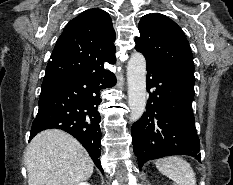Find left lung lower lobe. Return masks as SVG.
Masks as SVG:
<instances>
[{
    "instance_id": "0a47b994",
    "label": "left lung lower lobe",
    "mask_w": 233,
    "mask_h": 185,
    "mask_svg": "<svg viewBox=\"0 0 233 185\" xmlns=\"http://www.w3.org/2000/svg\"><path fill=\"white\" fill-rule=\"evenodd\" d=\"M194 84L193 73L147 63L146 112L131 128L139 168L170 155H190L200 161L192 111Z\"/></svg>"
}]
</instances>
